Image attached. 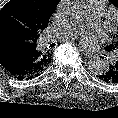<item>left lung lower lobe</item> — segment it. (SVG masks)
<instances>
[{
    "mask_svg": "<svg viewBox=\"0 0 118 118\" xmlns=\"http://www.w3.org/2000/svg\"><path fill=\"white\" fill-rule=\"evenodd\" d=\"M100 79L107 83L117 84L118 83V60L109 64V67L104 71L103 74L98 76Z\"/></svg>",
    "mask_w": 118,
    "mask_h": 118,
    "instance_id": "obj_1",
    "label": "left lung lower lobe"
}]
</instances>
